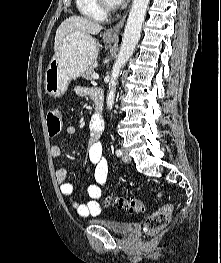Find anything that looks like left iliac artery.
<instances>
[{
    "mask_svg": "<svg viewBox=\"0 0 221 263\" xmlns=\"http://www.w3.org/2000/svg\"><path fill=\"white\" fill-rule=\"evenodd\" d=\"M116 155H117V156H121V155H122V151H121L120 149H117V150H116Z\"/></svg>",
    "mask_w": 221,
    "mask_h": 263,
    "instance_id": "left-iliac-artery-1",
    "label": "left iliac artery"
}]
</instances>
